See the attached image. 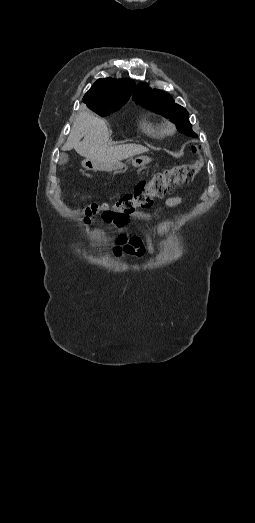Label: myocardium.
Returning <instances> with one entry per match:
<instances>
[{
  "label": "myocardium",
  "mask_w": 255,
  "mask_h": 523,
  "mask_svg": "<svg viewBox=\"0 0 255 523\" xmlns=\"http://www.w3.org/2000/svg\"><path fill=\"white\" fill-rule=\"evenodd\" d=\"M167 132H173L174 126L172 124H168L166 127Z\"/></svg>",
  "instance_id": "myocardium-1"
}]
</instances>
